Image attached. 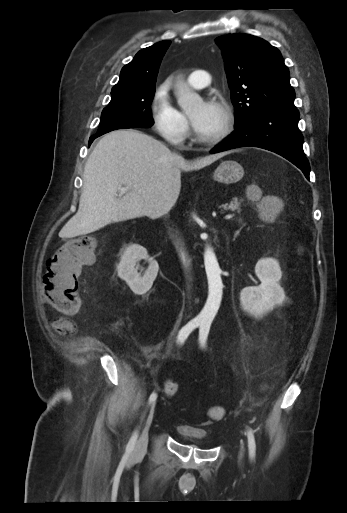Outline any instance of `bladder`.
<instances>
[{"instance_id":"1","label":"bladder","mask_w":347,"mask_h":513,"mask_svg":"<svg viewBox=\"0 0 347 513\" xmlns=\"http://www.w3.org/2000/svg\"><path fill=\"white\" fill-rule=\"evenodd\" d=\"M179 435L192 446L210 450L215 448V444L213 441L208 439L207 433L203 429H199L190 425H179L178 428Z\"/></svg>"}]
</instances>
